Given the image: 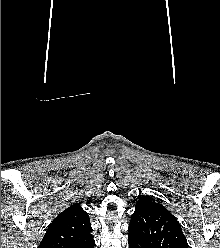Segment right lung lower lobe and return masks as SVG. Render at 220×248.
<instances>
[{
    "mask_svg": "<svg viewBox=\"0 0 220 248\" xmlns=\"http://www.w3.org/2000/svg\"><path fill=\"white\" fill-rule=\"evenodd\" d=\"M94 245H95V242L93 240L91 243H89V244H87L85 246H82V248H94Z\"/></svg>",
    "mask_w": 220,
    "mask_h": 248,
    "instance_id": "obj_1",
    "label": "right lung lower lobe"
}]
</instances>
